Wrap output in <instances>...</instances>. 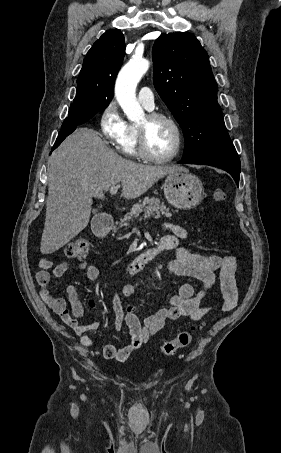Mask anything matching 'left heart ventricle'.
<instances>
[{
  "instance_id": "1",
  "label": "left heart ventricle",
  "mask_w": 281,
  "mask_h": 453,
  "mask_svg": "<svg viewBox=\"0 0 281 453\" xmlns=\"http://www.w3.org/2000/svg\"><path fill=\"white\" fill-rule=\"evenodd\" d=\"M146 123L145 118L139 125ZM148 142L150 149L157 156H166L170 154L175 142V133L171 126L164 122L158 121L148 127Z\"/></svg>"
}]
</instances>
